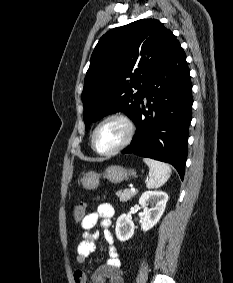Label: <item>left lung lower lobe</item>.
Instances as JSON below:
<instances>
[{
	"label": "left lung lower lobe",
	"mask_w": 233,
	"mask_h": 283,
	"mask_svg": "<svg viewBox=\"0 0 233 283\" xmlns=\"http://www.w3.org/2000/svg\"><path fill=\"white\" fill-rule=\"evenodd\" d=\"M144 97L147 103L142 100L133 118L136 133L122 153L170 163L183 179L193 99L190 71L179 42L147 80Z\"/></svg>",
	"instance_id": "1"
}]
</instances>
